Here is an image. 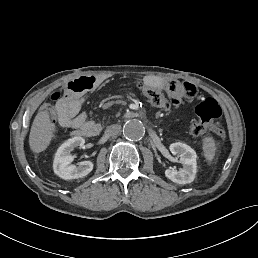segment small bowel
Segmentation results:
<instances>
[{"instance_id":"obj_1","label":"small bowel","mask_w":258,"mask_h":258,"mask_svg":"<svg viewBox=\"0 0 258 258\" xmlns=\"http://www.w3.org/2000/svg\"><path fill=\"white\" fill-rule=\"evenodd\" d=\"M103 82L104 80L98 76L88 75L67 83L70 90L56 105L57 121L60 126L78 130L86 136H96L100 132V125L90 119L86 112L81 111V107L86 97Z\"/></svg>"}]
</instances>
